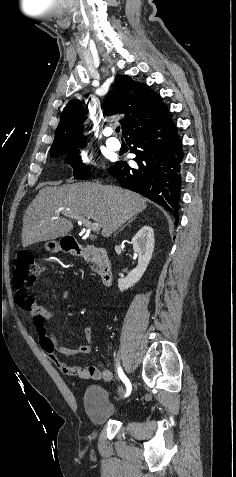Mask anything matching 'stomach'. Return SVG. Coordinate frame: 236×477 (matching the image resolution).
<instances>
[{
  "mask_svg": "<svg viewBox=\"0 0 236 477\" xmlns=\"http://www.w3.org/2000/svg\"><path fill=\"white\" fill-rule=\"evenodd\" d=\"M45 249L49 252H58L60 250H63L64 248L62 247L61 243L60 242H57L55 240H50V241H47L44 245Z\"/></svg>",
  "mask_w": 236,
  "mask_h": 477,
  "instance_id": "1",
  "label": "stomach"
}]
</instances>
